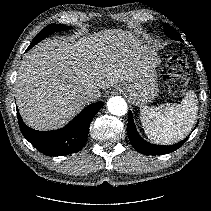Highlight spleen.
<instances>
[{"mask_svg": "<svg viewBox=\"0 0 211 211\" xmlns=\"http://www.w3.org/2000/svg\"><path fill=\"white\" fill-rule=\"evenodd\" d=\"M197 97L193 90L178 104L141 106L140 119L148 138L160 144H173L184 139L197 118Z\"/></svg>", "mask_w": 211, "mask_h": 211, "instance_id": "obj_1", "label": "spleen"}]
</instances>
